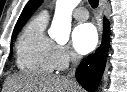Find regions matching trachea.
I'll use <instances>...</instances> for the list:
<instances>
[{
  "label": "trachea",
  "instance_id": "obj_1",
  "mask_svg": "<svg viewBox=\"0 0 127 92\" xmlns=\"http://www.w3.org/2000/svg\"><path fill=\"white\" fill-rule=\"evenodd\" d=\"M89 4L92 8H96L98 6V0H89Z\"/></svg>",
  "mask_w": 127,
  "mask_h": 92
}]
</instances>
